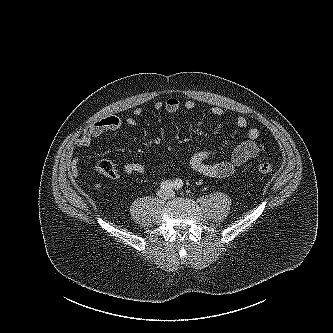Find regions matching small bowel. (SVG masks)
<instances>
[{"instance_id":"obj_1","label":"small bowel","mask_w":333,"mask_h":333,"mask_svg":"<svg viewBox=\"0 0 333 333\" xmlns=\"http://www.w3.org/2000/svg\"><path fill=\"white\" fill-rule=\"evenodd\" d=\"M181 108L192 111L195 103L192 100L181 102L176 97H170L165 101H157L154 104L156 111H166L167 113H177ZM210 112L214 116H222L224 111L218 106L210 108ZM143 110L136 108L133 117L122 119L118 116H107L88 125L83 134L77 138L75 145L79 148L88 147L96 138L106 132L117 131L124 126H135L136 118L142 116ZM235 124L238 128L246 130L247 139L236 146L231 154V158L227 161L208 162L214 156V152L210 150H202L195 153L190 159V167L197 173L213 178H225L232 176L247 161L259 156L264 151V146L257 142L259 130L254 126H249L248 120L238 115L235 118ZM95 168L109 179H118L121 175L142 174L145 172V165L142 163L125 164L121 171H118L112 162L101 159L95 164ZM68 173L71 177H77L81 173L80 161L77 157L69 160L67 164Z\"/></svg>"}]
</instances>
